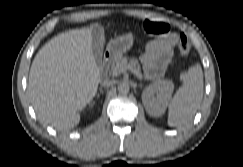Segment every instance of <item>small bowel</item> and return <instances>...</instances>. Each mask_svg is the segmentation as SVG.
<instances>
[{"instance_id":"obj_1","label":"small bowel","mask_w":243,"mask_h":167,"mask_svg":"<svg viewBox=\"0 0 243 167\" xmlns=\"http://www.w3.org/2000/svg\"><path fill=\"white\" fill-rule=\"evenodd\" d=\"M176 43V34L169 32L146 46L141 62L148 79L160 78L166 68L173 64L172 50Z\"/></svg>"}]
</instances>
